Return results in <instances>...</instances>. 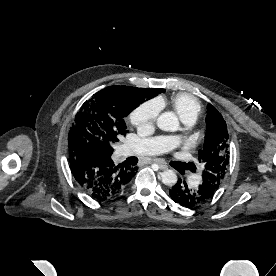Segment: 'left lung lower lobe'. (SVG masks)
Here are the masks:
<instances>
[{"label": "left lung lower lobe", "instance_id": "0a47b994", "mask_svg": "<svg viewBox=\"0 0 276 276\" xmlns=\"http://www.w3.org/2000/svg\"><path fill=\"white\" fill-rule=\"evenodd\" d=\"M214 192L215 189L209 182H203L198 187L189 188L186 182L179 179L176 185L169 189V196L182 207L193 208L207 202Z\"/></svg>", "mask_w": 276, "mask_h": 276}]
</instances>
